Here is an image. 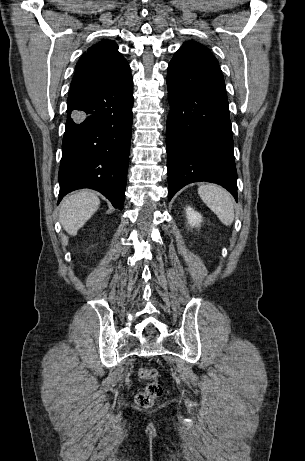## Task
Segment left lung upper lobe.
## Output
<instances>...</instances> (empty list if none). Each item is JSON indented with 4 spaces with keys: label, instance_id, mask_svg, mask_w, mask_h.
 I'll return each instance as SVG.
<instances>
[{
    "label": "left lung upper lobe",
    "instance_id": "1",
    "mask_svg": "<svg viewBox=\"0 0 305 461\" xmlns=\"http://www.w3.org/2000/svg\"><path fill=\"white\" fill-rule=\"evenodd\" d=\"M178 52L191 53V54H196L200 56H203V55L213 56L207 47L195 41L185 42L176 53Z\"/></svg>",
    "mask_w": 305,
    "mask_h": 461
}]
</instances>
